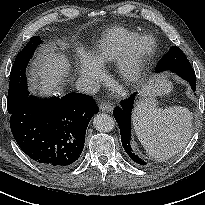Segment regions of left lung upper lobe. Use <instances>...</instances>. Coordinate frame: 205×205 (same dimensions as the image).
<instances>
[{"label":"left lung upper lobe","instance_id":"left-lung-upper-lobe-1","mask_svg":"<svg viewBox=\"0 0 205 205\" xmlns=\"http://www.w3.org/2000/svg\"><path fill=\"white\" fill-rule=\"evenodd\" d=\"M191 67L187 57L177 46H172L156 67V72Z\"/></svg>","mask_w":205,"mask_h":205}]
</instances>
